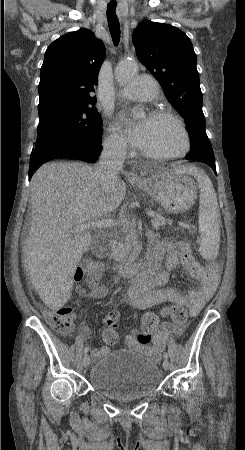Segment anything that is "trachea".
Returning a JSON list of instances; mask_svg holds the SVG:
<instances>
[{
  "instance_id": "trachea-1",
  "label": "trachea",
  "mask_w": 245,
  "mask_h": 450,
  "mask_svg": "<svg viewBox=\"0 0 245 450\" xmlns=\"http://www.w3.org/2000/svg\"><path fill=\"white\" fill-rule=\"evenodd\" d=\"M117 3L111 1L107 5V20L113 43L118 45L120 41V25L115 14Z\"/></svg>"
}]
</instances>
